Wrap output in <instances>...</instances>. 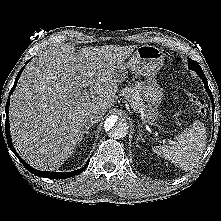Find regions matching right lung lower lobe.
<instances>
[{"label":"right lung lower lobe","mask_w":221,"mask_h":221,"mask_svg":"<svg viewBox=\"0 0 221 221\" xmlns=\"http://www.w3.org/2000/svg\"><path fill=\"white\" fill-rule=\"evenodd\" d=\"M24 70V67H22V69L20 70V72L18 73L16 79H15V83H14V86L13 88L11 89L10 91V94L14 91L15 87H16V84H17V81L20 77V74L21 72ZM10 97V95H9ZM9 103H10V100L8 98L7 100V103H6V107H5V111H6V121H5V133H6V139H7V143H8V146L9 148L13 151V153L18 157V159L22 162V164L25 166V168L27 170H29L31 173H33L34 175L36 176H40V177H45V178H50V179H65V178H70L72 176H75V175H78L80 174L81 172H83L88 164H89V161L86 163V165L84 166V168H81L77 171H73V172H66V173H59V172H48V171H39V170H36L34 168H32L31 166H29L15 151L14 147H13V144H12V141H11V137H10V130H9V117H8V107H9ZM1 127V125H0ZM2 128V127H1Z\"/></svg>","instance_id":"1"}]
</instances>
